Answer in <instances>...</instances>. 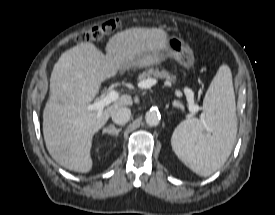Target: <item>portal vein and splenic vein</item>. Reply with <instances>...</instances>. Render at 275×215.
<instances>
[{"label":"portal vein and splenic vein","mask_w":275,"mask_h":215,"mask_svg":"<svg viewBox=\"0 0 275 215\" xmlns=\"http://www.w3.org/2000/svg\"><path fill=\"white\" fill-rule=\"evenodd\" d=\"M156 84L154 79H147L139 84L141 88H150ZM184 93L187 98L188 109L192 113L199 111V106L194 102V93L191 89L185 88ZM119 98V92L116 90H110L107 95L100 100L95 101L93 104L87 106V110L94 111L97 110L99 114L103 111L104 107L108 106L112 102L116 101Z\"/></svg>","instance_id":"obj_1"}]
</instances>
